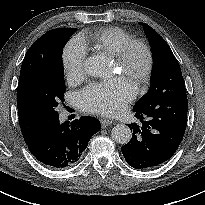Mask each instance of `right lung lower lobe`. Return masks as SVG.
<instances>
[{
	"label": "right lung lower lobe",
	"instance_id": "right-lung-lower-lobe-1",
	"mask_svg": "<svg viewBox=\"0 0 205 205\" xmlns=\"http://www.w3.org/2000/svg\"><path fill=\"white\" fill-rule=\"evenodd\" d=\"M100 130V123L83 116L60 124L59 115L46 121L26 141L34 157L48 167L62 169L73 166L80 159L90 138Z\"/></svg>",
	"mask_w": 205,
	"mask_h": 205
}]
</instances>
